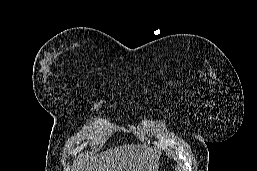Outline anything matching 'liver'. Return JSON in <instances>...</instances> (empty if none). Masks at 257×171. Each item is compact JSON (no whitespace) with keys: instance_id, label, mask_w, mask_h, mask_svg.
<instances>
[{"instance_id":"obj_1","label":"liver","mask_w":257,"mask_h":171,"mask_svg":"<svg viewBox=\"0 0 257 171\" xmlns=\"http://www.w3.org/2000/svg\"><path fill=\"white\" fill-rule=\"evenodd\" d=\"M158 155L141 145H123L78 163V171H157Z\"/></svg>"}]
</instances>
